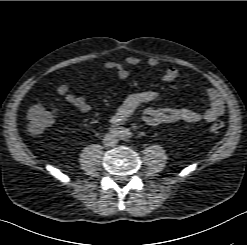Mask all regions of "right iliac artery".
<instances>
[{
  "mask_svg": "<svg viewBox=\"0 0 247 245\" xmlns=\"http://www.w3.org/2000/svg\"><path fill=\"white\" fill-rule=\"evenodd\" d=\"M110 132L115 134V135H118V134H120L121 131L118 128L111 127Z\"/></svg>",
  "mask_w": 247,
  "mask_h": 245,
  "instance_id": "1",
  "label": "right iliac artery"
}]
</instances>
